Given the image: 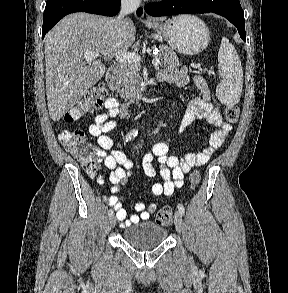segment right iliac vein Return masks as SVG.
I'll return each mask as SVG.
<instances>
[{"label": "right iliac vein", "instance_id": "obj_1", "mask_svg": "<svg viewBox=\"0 0 288 293\" xmlns=\"http://www.w3.org/2000/svg\"><path fill=\"white\" fill-rule=\"evenodd\" d=\"M109 224L111 227H114L116 224V218L113 214L109 216Z\"/></svg>", "mask_w": 288, "mask_h": 293}]
</instances>
